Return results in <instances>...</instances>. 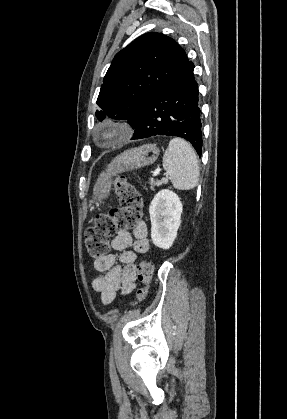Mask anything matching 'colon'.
I'll return each mask as SVG.
<instances>
[{"label":"colon","mask_w":287,"mask_h":419,"mask_svg":"<svg viewBox=\"0 0 287 419\" xmlns=\"http://www.w3.org/2000/svg\"><path fill=\"white\" fill-rule=\"evenodd\" d=\"M113 186L120 207L112 209L109 213L96 215L94 224L85 231L87 252L93 260L106 256L109 250L108 240L118 229L133 227L142 215V201L137 189L124 177H117ZM152 275V263L148 260L141 261L138 265L137 277L142 287L136 292L137 301L145 299L148 295Z\"/></svg>","instance_id":"1"}]
</instances>
